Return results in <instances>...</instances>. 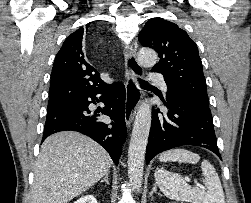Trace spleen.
<instances>
[{"instance_id": "3e777b00", "label": "spleen", "mask_w": 251, "mask_h": 203, "mask_svg": "<svg viewBox=\"0 0 251 203\" xmlns=\"http://www.w3.org/2000/svg\"><path fill=\"white\" fill-rule=\"evenodd\" d=\"M200 156L189 150L176 148L160 154L159 161H178L196 164ZM203 183L206 191L188 185L178 173L157 168L154 174L156 184L168 198L191 203H225V196L214 166L207 160L201 163Z\"/></svg>"}]
</instances>
